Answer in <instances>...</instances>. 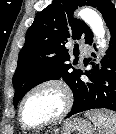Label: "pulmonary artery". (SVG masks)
Returning <instances> with one entry per match:
<instances>
[{
    "label": "pulmonary artery",
    "mask_w": 116,
    "mask_h": 134,
    "mask_svg": "<svg viewBox=\"0 0 116 134\" xmlns=\"http://www.w3.org/2000/svg\"><path fill=\"white\" fill-rule=\"evenodd\" d=\"M79 50L83 55H88L90 53V49L86 44H81Z\"/></svg>",
    "instance_id": "pulmonary-artery-1"
}]
</instances>
